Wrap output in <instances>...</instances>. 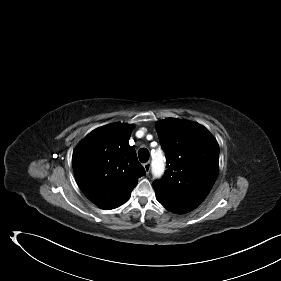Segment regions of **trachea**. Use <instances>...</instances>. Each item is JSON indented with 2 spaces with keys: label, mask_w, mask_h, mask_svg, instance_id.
<instances>
[{
  "label": "trachea",
  "mask_w": 281,
  "mask_h": 281,
  "mask_svg": "<svg viewBox=\"0 0 281 281\" xmlns=\"http://www.w3.org/2000/svg\"><path fill=\"white\" fill-rule=\"evenodd\" d=\"M138 157L140 162L145 163L149 160V151L146 148H141L138 151Z\"/></svg>",
  "instance_id": "obj_1"
}]
</instances>
